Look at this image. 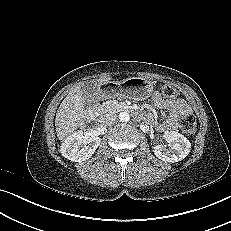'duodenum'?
Listing matches in <instances>:
<instances>
[{
  "mask_svg": "<svg viewBox=\"0 0 231 231\" xmlns=\"http://www.w3.org/2000/svg\"><path fill=\"white\" fill-rule=\"evenodd\" d=\"M123 109L128 110L129 106L124 105ZM96 116H97V112H96V109L94 106V102H92V104L90 105L89 110H88V118L93 121L96 118Z\"/></svg>",
  "mask_w": 231,
  "mask_h": 231,
  "instance_id": "1",
  "label": "duodenum"
}]
</instances>
